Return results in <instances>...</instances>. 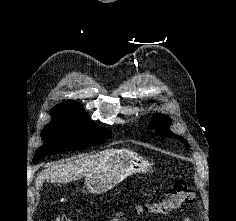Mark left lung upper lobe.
Returning <instances> with one entry per match:
<instances>
[{
    "instance_id": "5c2ea615",
    "label": "left lung upper lobe",
    "mask_w": 236,
    "mask_h": 221,
    "mask_svg": "<svg viewBox=\"0 0 236 221\" xmlns=\"http://www.w3.org/2000/svg\"><path fill=\"white\" fill-rule=\"evenodd\" d=\"M170 124H171V119L168 116L157 115L153 118V121L150 124V128L156 129L157 132H159L160 134H162L166 137L177 136V135L173 134L171 131H169L168 127L170 126ZM179 140L181 142H184V144L187 148L189 147L188 142L186 140H184V138H182L180 136Z\"/></svg>"
}]
</instances>
